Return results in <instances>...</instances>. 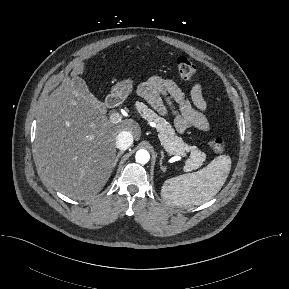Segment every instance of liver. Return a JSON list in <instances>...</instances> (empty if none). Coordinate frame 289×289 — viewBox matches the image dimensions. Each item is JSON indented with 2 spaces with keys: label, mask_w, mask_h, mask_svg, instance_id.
Returning a JSON list of instances; mask_svg holds the SVG:
<instances>
[{
  "label": "liver",
  "mask_w": 289,
  "mask_h": 289,
  "mask_svg": "<svg viewBox=\"0 0 289 289\" xmlns=\"http://www.w3.org/2000/svg\"><path fill=\"white\" fill-rule=\"evenodd\" d=\"M84 73L76 64L45 102L35 138V161L41 177L72 199L84 200L100 192L111 176L116 159V140L129 131L136 140L140 125L132 119L113 124L90 98L79 91L74 79ZM81 79V78H80Z\"/></svg>",
  "instance_id": "1"
}]
</instances>
